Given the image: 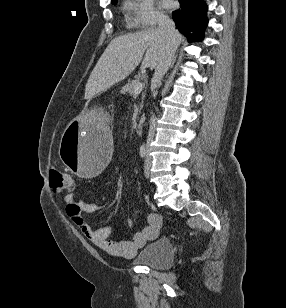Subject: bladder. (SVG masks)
Instances as JSON below:
<instances>
[{
    "instance_id": "obj_1",
    "label": "bladder",
    "mask_w": 286,
    "mask_h": 308,
    "mask_svg": "<svg viewBox=\"0 0 286 308\" xmlns=\"http://www.w3.org/2000/svg\"><path fill=\"white\" fill-rule=\"evenodd\" d=\"M174 261L173 244L168 238H160L144 246L135 256L138 265L153 268H166Z\"/></svg>"
}]
</instances>
